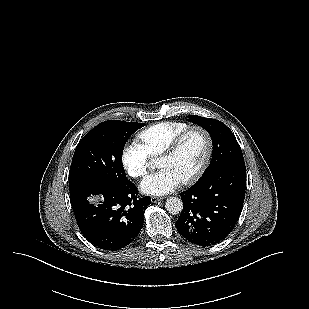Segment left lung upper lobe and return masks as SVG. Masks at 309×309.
<instances>
[{
	"mask_svg": "<svg viewBox=\"0 0 309 309\" xmlns=\"http://www.w3.org/2000/svg\"><path fill=\"white\" fill-rule=\"evenodd\" d=\"M189 121L204 128L212 138V160L203 175L227 163L244 160L241 148L234 134L224 123L216 119L197 115H190Z\"/></svg>",
	"mask_w": 309,
	"mask_h": 309,
	"instance_id": "obj_1",
	"label": "left lung upper lobe"
}]
</instances>
